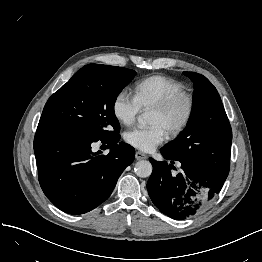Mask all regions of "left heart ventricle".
I'll return each instance as SVG.
<instances>
[{
    "mask_svg": "<svg viewBox=\"0 0 262 262\" xmlns=\"http://www.w3.org/2000/svg\"><path fill=\"white\" fill-rule=\"evenodd\" d=\"M183 105H179L169 113H160L156 110H151L150 123L161 124L167 131L168 129L176 124L183 115Z\"/></svg>",
    "mask_w": 262,
    "mask_h": 262,
    "instance_id": "left-heart-ventricle-1",
    "label": "left heart ventricle"
}]
</instances>
